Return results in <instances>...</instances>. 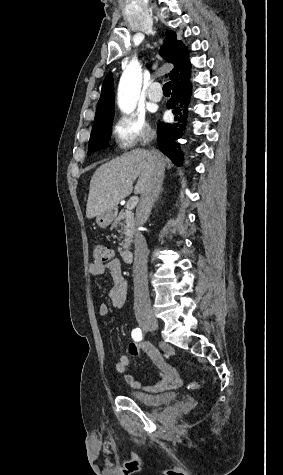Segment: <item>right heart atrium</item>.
<instances>
[{
    "label": "right heart atrium",
    "instance_id": "1",
    "mask_svg": "<svg viewBox=\"0 0 283 475\" xmlns=\"http://www.w3.org/2000/svg\"><path fill=\"white\" fill-rule=\"evenodd\" d=\"M110 133L115 149L129 155L144 151L155 132L144 115L133 113L117 117Z\"/></svg>",
    "mask_w": 283,
    "mask_h": 475
}]
</instances>
